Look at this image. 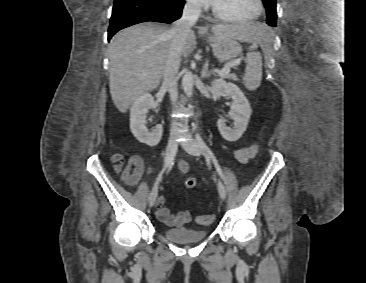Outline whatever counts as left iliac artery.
Listing matches in <instances>:
<instances>
[{
  "label": "left iliac artery",
  "instance_id": "left-iliac-artery-1",
  "mask_svg": "<svg viewBox=\"0 0 366 283\" xmlns=\"http://www.w3.org/2000/svg\"><path fill=\"white\" fill-rule=\"evenodd\" d=\"M196 130V128H195ZM196 139L201 147V149L203 150L204 154L206 156H208L209 158L212 159L214 165H215V168L218 172V174L220 175V177L222 179H224V176H223V173H222V169L216 159V157L214 156V153L210 150V148L206 145V143L203 141V139L201 138L200 134L199 133H196Z\"/></svg>",
  "mask_w": 366,
  "mask_h": 283
}]
</instances>
